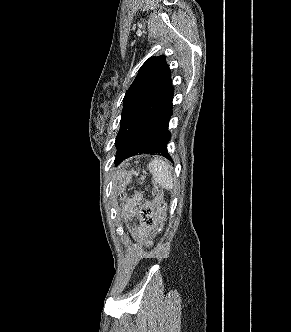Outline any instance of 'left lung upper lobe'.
I'll list each match as a JSON object with an SVG mask.
<instances>
[{"label":"left lung upper lobe","instance_id":"1","mask_svg":"<svg viewBox=\"0 0 291 332\" xmlns=\"http://www.w3.org/2000/svg\"><path fill=\"white\" fill-rule=\"evenodd\" d=\"M170 81L171 73L164 55L151 57L141 66L123 99L120 130L115 142L118 150L138 127L147 103L160 94Z\"/></svg>","mask_w":291,"mask_h":332}]
</instances>
